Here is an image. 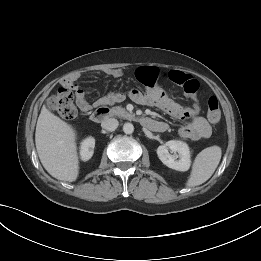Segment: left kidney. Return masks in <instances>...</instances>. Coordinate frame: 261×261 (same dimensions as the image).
I'll list each match as a JSON object with an SVG mask.
<instances>
[{
	"instance_id": "5707ae66",
	"label": "left kidney",
	"mask_w": 261,
	"mask_h": 261,
	"mask_svg": "<svg viewBox=\"0 0 261 261\" xmlns=\"http://www.w3.org/2000/svg\"><path fill=\"white\" fill-rule=\"evenodd\" d=\"M157 155L162 163L171 169L184 172L190 168V150L185 142L170 140L157 148Z\"/></svg>"
}]
</instances>
